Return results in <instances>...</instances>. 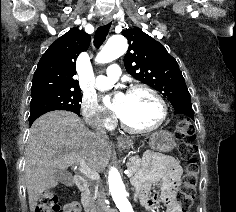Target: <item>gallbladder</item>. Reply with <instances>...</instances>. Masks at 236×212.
<instances>
[{"label": "gallbladder", "instance_id": "bac80fb5", "mask_svg": "<svg viewBox=\"0 0 236 212\" xmlns=\"http://www.w3.org/2000/svg\"><path fill=\"white\" fill-rule=\"evenodd\" d=\"M55 178L60 182L63 183L64 185H71L72 184V177L71 174L66 172V171H62V170H57L55 172Z\"/></svg>", "mask_w": 236, "mask_h": 212}]
</instances>
